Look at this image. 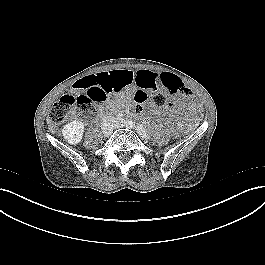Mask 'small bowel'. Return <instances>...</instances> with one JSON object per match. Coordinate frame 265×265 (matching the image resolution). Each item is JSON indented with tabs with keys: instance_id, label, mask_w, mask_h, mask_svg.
<instances>
[{
	"instance_id": "1",
	"label": "small bowel",
	"mask_w": 265,
	"mask_h": 265,
	"mask_svg": "<svg viewBox=\"0 0 265 265\" xmlns=\"http://www.w3.org/2000/svg\"><path fill=\"white\" fill-rule=\"evenodd\" d=\"M159 75L160 73L150 70L133 72L131 70L122 69L102 72L94 77L104 76L108 78L119 89L118 91H120L133 85L149 90L160 88L161 85L158 81ZM180 106L184 107V102L180 103ZM176 107L175 105H169L166 107L165 111L173 112L176 110Z\"/></svg>"
}]
</instances>
